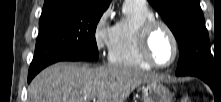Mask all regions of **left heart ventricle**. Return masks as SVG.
<instances>
[{
  "label": "left heart ventricle",
  "mask_w": 221,
  "mask_h": 102,
  "mask_svg": "<svg viewBox=\"0 0 221 102\" xmlns=\"http://www.w3.org/2000/svg\"><path fill=\"white\" fill-rule=\"evenodd\" d=\"M150 51L153 59L159 64H167L174 55L171 37L164 29H158L152 36Z\"/></svg>",
  "instance_id": "1"
}]
</instances>
